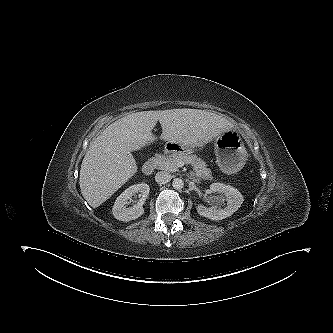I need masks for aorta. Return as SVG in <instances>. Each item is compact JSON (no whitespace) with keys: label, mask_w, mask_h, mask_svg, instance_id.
I'll list each match as a JSON object with an SVG mask.
<instances>
[{"label":"aorta","mask_w":333,"mask_h":333,"mask_svg":"<svg viewBox=\"0 0 333 333\" xmlns=\"http://www.w3.org/2000/svg\"><path fill=\"white\" fill-rule=\"evenodd\" d=\"M172 186H173L174 189L179 190V189L183 188L184 182L182 181V179L176 178V179L173 180Z\"/></svg>","instance_id":"aorta-1"}]
</instances>
